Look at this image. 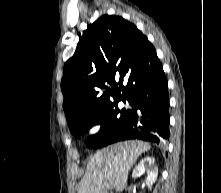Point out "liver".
Here are the masks:
<instances>
[{
  "label": "liver",
  "mask_w": 221,
  "mask_h": 193,
  "mask_svg": "<svg viewBox=\"0 0 221 193\" xmlns=\"http://www.w3.org/2000/svg\"><path fill=\"white\" fill-rule=\"evenodd\" d=\"M150 148V144L143 141H125L97 151L90 157L78 193H104L106 188L122 192L130 169Z\"/></svg>",
  "instance_id": "6515ba94"
}]
</instances>
